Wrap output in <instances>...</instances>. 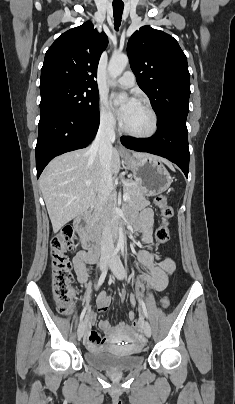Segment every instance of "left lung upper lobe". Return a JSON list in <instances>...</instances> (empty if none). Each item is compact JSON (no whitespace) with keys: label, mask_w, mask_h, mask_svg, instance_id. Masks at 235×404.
Returning <instances> with one entry per match:
<instances>
[{"label":"left lung upper lobe","mask_w":235,"mask_h":404,"mask_svg":"<svg viewBox=\"0 0 235 404\" xmlns=\"http://www.w3.org/2000/svg\"><path fill=\"white\" fill-rule=\"evenodd\" d=\"M131 69L158 115V125L186 120L189 111L190 74L187 58L176 39L143 26L127 44Z\"/></svg>","instance_id":"left-lung-upper-lobe-1"}]
</instances>
